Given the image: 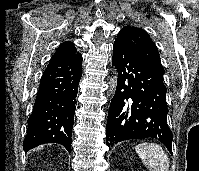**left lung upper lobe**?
Instances as JSON below:
<instances>
[{
  "mask_svg": "<svg viewBox=\"0 0 199 171\" xmlns=\"http://www.w3.org/2000/svg\"><path fill=\"white\" fill-rule=\"evenodd\" d=\"M115 42L122 44L138 57L153 65L159 71L163 73L165 72L160 61L157 47L145 30L125 26L118 33Z\"/></svg>",
  "mask_w": 199,
  "mask_h": 171,
  "instance_id": "1",
  "label": "left lung upper lobe"
}]
</instances>
